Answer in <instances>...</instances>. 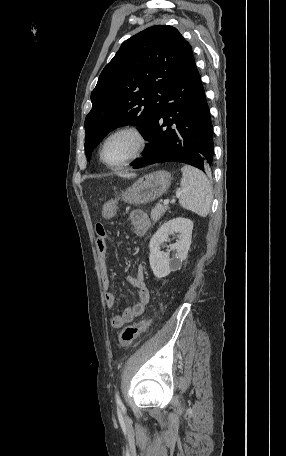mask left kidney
<instances>
[{
    "label": "left kidney",
    "mask_w": 286,
    "mask_h": 456,
    "mask_svg": "<svg viewBox=\"0 0 286 456\" xmlns=\"http://www.w3.org/2000/svg\"><path fill=\"white\" fill-rule=\"evenodd\" d=\"M192 230L193 222L190 219L179 217L164 223L153 235L149 244V262L157 278L166 277L171 271L180 269L191 245ZM174 232L179 233V240L170 246L172 250L176 251L175 257L171 259L168 253L160 250V246Z\"/></svg>",
    "instance_id": "obj_1"
}]
</instances>
